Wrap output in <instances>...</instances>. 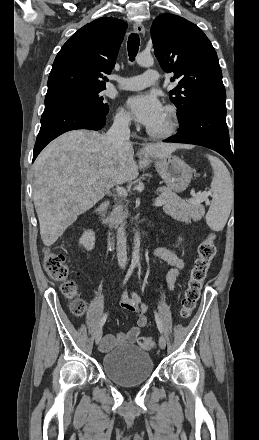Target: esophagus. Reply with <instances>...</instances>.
I'll use <instances>...</instances> for the list:
<instances>
[{
	"mask_svg": "<svg viewBox=\"0 0 259 440\" xmlns=\"http://www.w3.org/2000/svg\"><path fill=\"white\" fill-rule=\"evenodd\" d=\"M133 29L137 34L143 35L145 32L144 26L140 22H135Z\"/></svg>",
	"mask_w": 259,
	"mask_h": 440,
	"instance_id": "1",
	"label": "esophagus"
}]
</instances>
